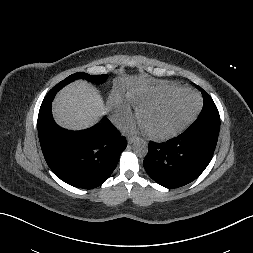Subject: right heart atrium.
I'll return each instance as SVG.
<instances>
[{"label": "right heart atrium", "mask_w": 253, "mask_h": 253, "mask_svg": "<svg viewBox=\"0 0 253 253\" xmlns=\"http://www.w3.org/2000/svg\"><path fill=\"white\" fill-rule=\"evenodd\" d=\"M132 118V111L128 104L120 102L116 108V119L119 123H128Z\"/></svg>", "instance_id": "right-heart-atrium-1"}]
</instances>
